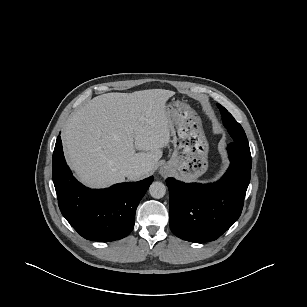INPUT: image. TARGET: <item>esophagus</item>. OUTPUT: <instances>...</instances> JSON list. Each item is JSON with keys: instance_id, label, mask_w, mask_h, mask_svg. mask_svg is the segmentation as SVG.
Segmentation results:
<instances>
[{"instance_id": "34e87169", "label": "esophagus", "mask_w": 307, "mask_h": 307, "mask_svg": "<svg viewBox=\"0 0 307 307\" xmlns=\"http://www.w3.org/2000/svg\"><path fill=\"white\" fill-rule=\"evenodd\" d=\"M160 174H161L162 176H167V175L169 174V172H168V170H166L165 168H161V169H160Z\"/></svg>"}]
</instances>
